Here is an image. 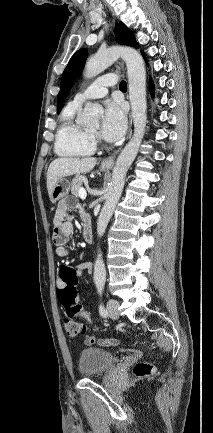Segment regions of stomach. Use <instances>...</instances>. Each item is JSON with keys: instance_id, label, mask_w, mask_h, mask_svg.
Here are the masks:
<instances>
[{"instance_id": "obj_1", "label": "stomach", "mask_w": 213, "mask_h": 433, "mask_svg": "<svg viewBox=\"0 0 213 433\" xmlns=\"http://www.w3.org/2000/svg\"><path fill=\"white\" fill-rule=\"evenodd\" d=\"M100 169L102 171H106L107 168L101 166ZM70 190V182L66 178L60 179L56 185L54 186L51 194L49 195L52 203H56L60 199L66 197Z\"/></svg>"}]
</instances>
